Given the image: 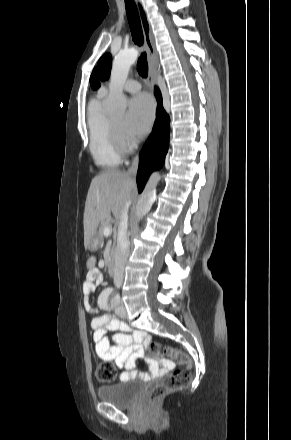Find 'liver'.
Here are the masks:
<instances>
[{
    "mask_svg": "<svg viewBox=\"0 0 291 440\" xmlns=\"http://www.w3.org/2000/svg\"><path fill=\"white\" fill-rule=\"evenodd\" d=\"M134 181L131 176L119 170H107L95 176L90 184L84 210V246L86 249L97 235L101 221L112 212L116 220L129 202Z\"/></svg>",
    "mask_w": 291,
    "mask_h": 440,
    "instance_id": "liver-1",
    "label": "liver"
}]
</instances>
